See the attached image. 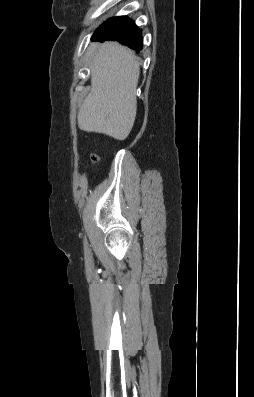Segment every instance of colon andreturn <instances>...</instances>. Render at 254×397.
<instances>
[{"instance_id": "colon-1", "label": "colon", "mask_w": 254, "mask_h": 397, "mask_svg": "<svg viewBox=\"0 0 254 397\" xmlns=\"http://www.w3.org/2000/svg\"><path fill=\"white\" fill-rule=\"evenodd\" d=\"M93 160H96V157H95V156L93 157Z\"/></svg>"}]
</instances>
